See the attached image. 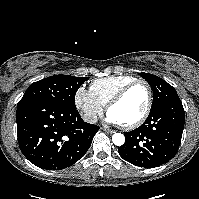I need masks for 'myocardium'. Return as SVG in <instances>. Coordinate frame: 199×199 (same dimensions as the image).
Listing matches in <instances>:
<instances>
[{
	"instance_id": "myocardium-1",
	"label": "myocardium",
	"mask_w": 199,
	"mask_h": 199,
	"mask_svg": "<svg viewBox=\"0 0 199 199\" xmlns=\"http://www.w3.org/2000/svg\"><path fill=\"white\" fill-rule=\"evenodd\" d=\"M143 85L146 87L147 89V103H146V107L143 111V113L140 115V117H138L135 121L133 122H130V123H127V124H120V126L123 128V129H133V128H136L138 127L139 125H141L145 120L146 118L148 117L150 111H151V108H152V104H153V91H152V87L151 85L145 81V80H142V79H136L132 82H130L129 84H127L126 86H124L113 98L112 100L108 103L107 105V111L109 112L110 109L118 104L119 102H121L123 100V98L125 97V95L132 89L134 88L135 86L137 85Z\"/></svg>"
}]
</instances>
